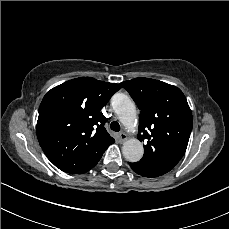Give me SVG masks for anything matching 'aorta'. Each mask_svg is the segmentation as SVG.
Masks as SVG:
<instances>
[{
  "label": "aorta",
  "mask_w": 229,
  "mask_h": 229,
  "mask_svg": "<svg viewBox=\"0 0 229 229\" xmlns=\"http://www.w3.org/2000/svg\"><path fill=\"white\" fill-rule=\"evenodd\" d=\"M111 105L124 127L128 130L135 129L137 114L132 99L123 93H116L111 98ZM122 153L127 161L137 162L142 158L144 148L138 139L132 138L124 142Z\"/></svg>",
  "instance_id": "1"
}]
</instances>
